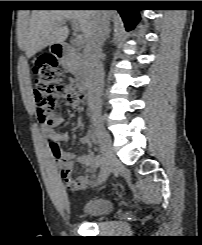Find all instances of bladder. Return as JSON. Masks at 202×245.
Here are the masks:
<instances>
[{
	"instance_id": "bladder-1",
	"label": "bladder",
	"mask_w": 202,
	"mask_h": 245,
	"mask_svg": "<svg viewBox=\"0 0 202 245\" xmlns=\"http://www.w3.org/2000/svg\"><path fill=\"white\" fill-rule=\"evenodd\" d=\"M114 210V202L110 198L90 199L83 207L82 214L87 218L99 219Z\"/></svg>"
}]
</instances>
